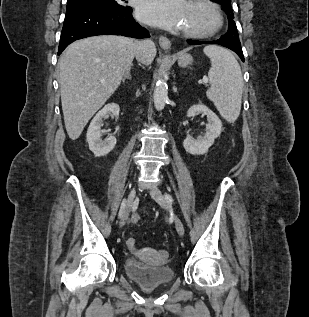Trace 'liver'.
<instances>
[{"label":"liver","instance_id":"obj_1","mask_svg":"<svg viewBox=\"0 0 309 317\" xmlns=\"http://www.w3.org/2000/svg\"><path fill=\"white\" fill-rule=\"evenodd\" d=\"M138 61L150 65L156 55L152 41H140ZM135 42L122 36L88 37L70 44L59 60L64 123L76 140L91 117L116 91L134 59Z\"/></svg>","mask_w":309,"mask_h":317}]
</instances>
